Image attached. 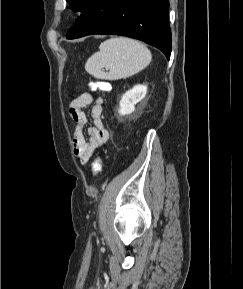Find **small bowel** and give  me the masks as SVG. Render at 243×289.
<instances>
[{
  "label": "small bowel",
  "instance_id": "c3829d8e",
  "mask_svg": "<svg viewBox=\"0 0 243 289\" xmlns=\"http://www.w3.org/2000/svg\"><path fill=\"white\" fill-rule=\"evenodd\" d=\"M103 98L92 93H82L69 106V114L76 124L72 139L73 153L82 164L88 162L91 156L102 147L109 138V132L102 121ZM91 107L90 119L93 126L88 128V138L83 133V127L88 121L84 109Z\"/></svg>",
  "mask_w": 243,
  "mask_h": 289
}]
</instances>
